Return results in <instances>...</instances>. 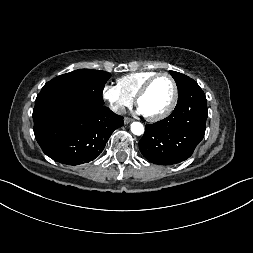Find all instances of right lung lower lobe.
<instances>
[{
    "instance_id": "right-lung-lower-lobe-1",
    "label": "right lung lower lobe",
    "mask_w": 253,
    "mask_h": 253,
    "mask_svg": "<svg viewBox=\"0 0 253 253\" xmlns=\"http://www.w3.org/2000/svg\"><path fill=\"white\" fill-rule=\"evenodd\" d=\"M98 101L60 92L41 91L33 109L34 134L53 160L78 165L94 160L123 117Z\"/></svg>"
}]
</instances>
